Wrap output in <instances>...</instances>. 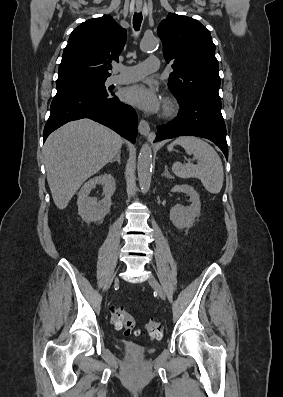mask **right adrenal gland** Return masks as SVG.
Returning <instances> with one entry per match:
<instances>
[{"label":"right adrenal gland","instance_id":"right-adrenal-gland-1","mask_svg":"<svg viewBox=\"0 0 283 397\" xmlns=\"http://www.w3.org/2000/svg\"><path fill=\"white\" fill-rule=\"evenodd\" d=\"M120 155H121V153L119 152V153L110 161V163H113V162L117 161L119 164H121Z\"/></svg>","mask_w":283,"mask_h":397}]
</instances>
